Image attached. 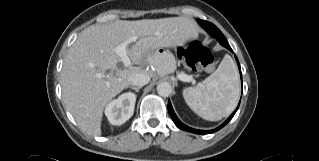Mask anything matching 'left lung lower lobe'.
<instances>
[{
	"instance_id": "1",
	"label": "left lung lower lobe",
	"mask_w": 319,
	"mask_h": 161,
	"mask_svg": "<svg viewBox=\"0 0 319 161\" xmlns=\"http://www.w3.org/2000/svg\"><path fill=\"white\" fill-rule=\"evenodd\" d=\"M198 22H199V24H200L208 33H210L211 35L216 34V31L219 30L216 26H215L214 28L208 27V25L206 24V21H204V20L198 19ZM207 22H208V21H207ZM223 46L226 47V48H228L230 51H232L228 43L224 44ZM235 58H236V61H237V63H238V67H239L240 74H241V79H242V73H241V69H240V64H239V61H238L237 57H235ZM238 107H239V105H238ZM238 107H237L236 110L231 114V116H230L222 125H220L219 127L215 128V129H213V130H198V129H193V128L188 127V126H186L185 124H183V123L178 119V117L176 116V114H175V112H174V110H173V108H172V105H171L170 101H168V111H169V114H170V116H171L173 122L175 123V125H176L178 128L182 129V130L189 131V132L196 133V134H209V133H213V132H216V131L220 130L221 128H223V127L232 119V117L234 116V114H235L236 111L238 110Z\"/></svg>"
}]
</instances>
